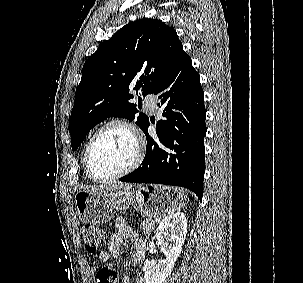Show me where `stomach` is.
Masks as SVG:
<instances>
[{"mask_svg":"<svg viewBox=\"0 0 303 283\" xmlns=\"http://www.w3.org/2000/svg\"><path fill=\"white\" fill-rule=\"evenodd\" d=\"M74 199L79 219L90 224L106 223L115 212H123L134 204L144 217L161 218L179 211L186 202L182 189L160 185L122 188L103 194L81 190Z\"/></svg>","mask_w":303,"mask_h":283,"instance_id":"stomach-1","label":"stomach"}]
</instances>
